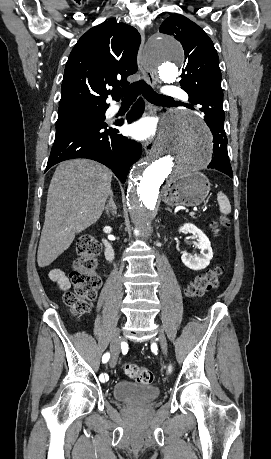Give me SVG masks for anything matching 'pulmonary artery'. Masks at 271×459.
Listing matches in <instances>:
<instances>
[{"label":"pulmonary artery","mask_w":271,"mask_h":459,"mask_svg":"<svg viewBox=\"0 0 271 459\" xmlns=\"http://www.w3.org/2000/svg\"><path fill=\"white\" fill-rule=\"evenodd\" d=\"M187 96L188 93L185 90L173 89L172 87H169L168 89H163L162 95L163 98H179V102L181 104L189 106L192 103V100ZM119 109L120 105L118 104H112L111 106H109L105 112L106 118L112 117L116 112H118Z\"/></svg>","instance_id":"e3ab8cb5"}]
</instances>
